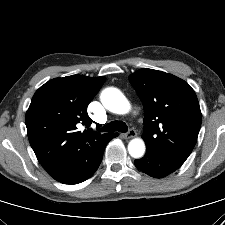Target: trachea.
Masks as SVG:
<instances>
[{
	"instance_id": "1",
	"label": "trachea",
	"mask_w": 225,
	"mask_h": 225,
	"mask_svg": "<svg viewBox=\"0 0 225 225\" xmlns=\"http://www.w3.org/2000/svg\"><path fill=\"white\" fill-rule=\"evenodd\" d=\"M102 131L104 132H127L128 127L125 122L123 121H111L110 123H107L103 128Z\"/></svg>"
}]
</instances>
